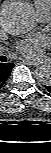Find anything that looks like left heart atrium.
<instances>
[{
  "mask_svg": "<svg viewBox=\"0 0 51 153\" xmlns=\"http://www.w3.org/2000/svg\"><path fill=\"white\" fill-rule=\"evenodd\" d=\"M48 39L44 35H37L26 40L19 41L16 49L25 57L35 58L39 56L41 48L47 45Z\"/></svg>",
  "mask_w": 51,
  "mask_h": 153,
  "instance_id": "39dd6f15",
  "label": "left heart atrium"
}]
</instances>
